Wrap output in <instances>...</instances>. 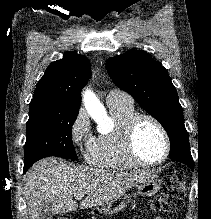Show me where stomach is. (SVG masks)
Instances as JSON below:
<instances>
[{"mask_svg":"<svg viewBox=\"0 0 211 219\" xmlns=\"http://www.w3.org/2000/svg\"><path fill=\"white\" fill-rule=\"evenodd\" d=\"M160 180L157 175L149 174L142 182L137 184V192L141 196H152L157 193L160 188ZM131 202V196L122 193L113 200L101 205L100 208L95 209L92 213L99 212L105 215H112L122 211Z\"/></svg>","mask_w":211,"mask_h":219,"instance_id":"1","label":"stomach"}]
</instances>
